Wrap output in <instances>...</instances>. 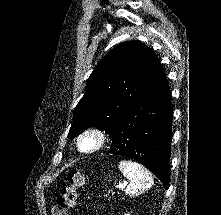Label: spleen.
<instances>
[{
    "label": "spleen",
    "instance_id": "3e777b00",
    "mask_svg": "<svg viewBox=\"0 0 221 215\" xmlns=\"http://www.w3.org/2000/svg\"><path fill=\"white\" fill-rule=\"evenodd\" d=\"M123 175L130 181L125 192L129 196H135L148 190L153 185V178L150 172L131 160H121L118 165Z\"/></svg>",
    "mask_w": 221,
    "mask_h": 215
}]
</instances>
